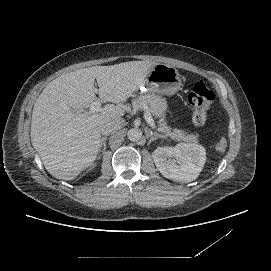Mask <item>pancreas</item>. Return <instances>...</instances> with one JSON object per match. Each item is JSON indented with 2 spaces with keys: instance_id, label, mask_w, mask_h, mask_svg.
<instances>
[{
  "instance_id": "pancreas-1",
  "label": "pancreas",
  "mask_w": 271,
  "mask_h": 271,
  "mask_svg": "<svg viewBox=\"0 0 271 271\" xmlns=\"http://www.w3.org/2000/svg\"><path fill=\"white\" fill-rule=\"evenodd\" d=\"M133 108L144 109V106H148V111L155 116L160 118L161 123L159 131L163 133V137H170L173 140L183 141L188 143H198V135L187 134L180 129H171L164 122L165 111L167 109V102L160 95L154 93H147L144 95H139L132 100Z\"/></svg>"
}]
</instances>
